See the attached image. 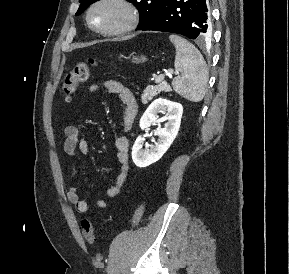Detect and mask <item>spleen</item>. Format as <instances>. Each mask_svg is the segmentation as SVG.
<instances>
[{
	"mask_svg": "<svg viewBox=\"0 0 289 274\" xmlns=\"http://www.w3.org/2000/svg\"><path fill=\"white\" fill-rule=\"evenodd\" d=\"M176 48L174 67L180 74L172 81L173 89L182 97L201 101L206 93L208 68L199 50L178 35H170Z\"/></svg>",
	"mask_w": 289,
	"mask_h": 274,
	"instance_id": "spleen-1",
	"label": "spleen"
}]
</instances>
